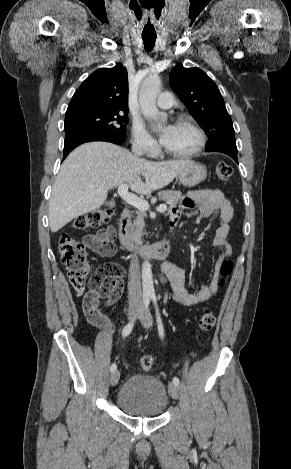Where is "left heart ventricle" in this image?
Listing matches in <instances>:
<instances>
[{
  "label": "left heart ventricle",
  "mask_w": 291,
  "mask_h": 469,
  "mask_svg": "<svg viewBox=\"0 0 291 469\" xmlns=\"http://www.w3.org/2000/svg\"><path fill=\"white\" fill-rule=\"evenodd\" d=\"M197 141L195 131L188 125H175L174 131L164 146L175 152H186L194 147Z\"/></svg>",
  "instance_id": "obj_1"
}]
</instances>
